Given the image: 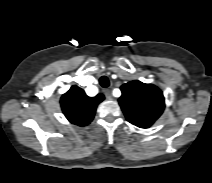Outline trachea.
<instances>
[{
	"label": "trachea",
	"mask_w": 212,
	"mask_h": 183,
	"mask_svg": "<svg viewBox=\"0 0 212 183\" xmlns=\"http://www.w3.org/2000/svg\"><path fill=\"white\" fill-rule=\"evenodd\" d=\"M99 83L103 88H107L110 85V82L106 76H102L99 79Z\"/></svg>",
	"instance_id": "1"
}]
</instances>
